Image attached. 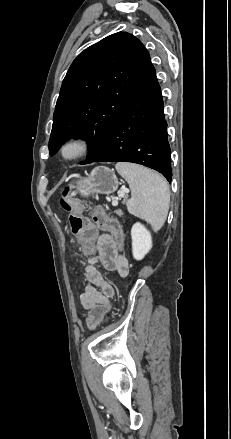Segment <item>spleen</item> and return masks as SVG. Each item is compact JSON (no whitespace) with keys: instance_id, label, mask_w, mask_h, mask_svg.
<instances>
[{"instance_id":"3e777b00","label":"spleen","mask_w":231,"mask_h":439,"mask_svg":"<svg viewBox=\"0 0 231 439\" xmlns=\"http://www.w3.org/2000/svg\"><path fill=\"white\" fill-rule=\"evenodd\" d=\"M117 172L128 182L131 198L126 202L129 213L146 220L158 231L167 218L170 190L159 174L132 163H117Z\"/></svg>"}]
</instances>
